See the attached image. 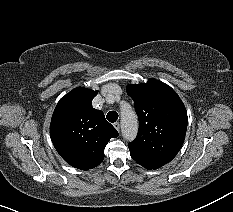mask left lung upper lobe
I'll return each instance as SVG.
<instances>
[{"instance_id":"5c2ea615","label":"left lung upper lobe","mask_w":233,"mask_h":212,"mask_svg":"<svg viewBox=\"0 0 233 212\" xmlns=\"http://www.w3.org/2000/svg\"><path fill=\"white\" fill-rule=\"evenodd\" d=\"M139 118L136 139L129 143L131 157L147 169L170 162L180 150L187 129V112L177 93L167 84L149 79L128 85Z\"/></svg>"}]
</instances>
